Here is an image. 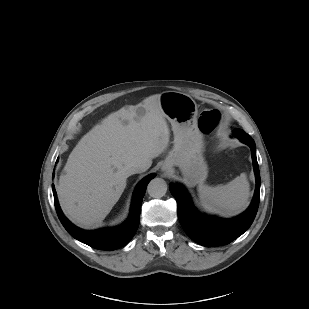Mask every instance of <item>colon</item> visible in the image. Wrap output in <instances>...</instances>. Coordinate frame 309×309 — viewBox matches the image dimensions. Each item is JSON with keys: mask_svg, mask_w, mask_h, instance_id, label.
Listing matches in <instances>:
<instances>
[{"mask_svg": "<svg viewBox=\"0 0 309 309\" xmlns=\"http://www.w3.org/2000/svg\"><path fill=\"white\" fill-rule=\"evenodd\" d=\"M220 121V115L216 110H203L198 118L199 129L206 134L213 133Z\"/></svg>", "mask_w": 309, "mask_h": 309, "instance_id": "1", "label": "colon"}]
</instances>
